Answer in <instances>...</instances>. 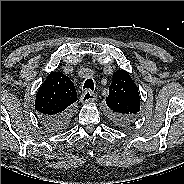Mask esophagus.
I'll return each instance as SVG.
<instances>
[{
	"instance_id": "1",
	"label": "esophagus",
	"mask_w": 184,
	"mask_h": 184,
	"mask_svg": "<svg viewBox=\"0 0 184 184\" xmlns=\"http://www.w3.org/2000/svg\"><path fill=\"white\" fill-rule=\"evenodd\" d=\"M96 100V95L90 90L84 91V93L80 97L81 103L93 102Z\"/></svg>"
}]
</instances>
